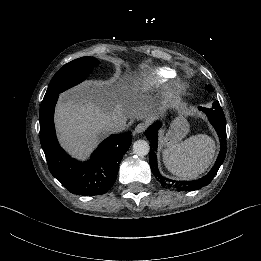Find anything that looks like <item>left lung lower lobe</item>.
I'll return each mask as SVG.
<instances>
[{"label": "left lung lower lobe", "mask_w": 261, "mask_h": 261, "mask_svg": "<svg viewBox=\"0 0 261 261\" xmlns=\"http://www.w3.org/2000/svg\"><path fill=\"white\" fill-rule=\"evenodd\" d=\"M199 110L205 112L208 116L209 121L217 131V134L221 138H225L226 136V119L223 113V110L219 104L218 101L213 102L212 107L210 109L199 107ZM161 127V122L156 121L154 122L149 128L145 131V136L147 139L151 142V149H150V155H149V162L150 167L153 172V174L157 177L159 182H161L164 185H167L168 187L175 188L177 190L182 191H193L201 189L204 186H207L214 176L216 175L218 169L220 168L221 164L223 163L225 159V155L227 152V146L226 143L223 141L221 142L220 152L218 155V158L212 167V169L209 171L207 175L204 177L194 180V181H176L169 178L164 177L159 169L157 164V132L158 129Z\"/></svg>", "instance_id": "left-lung-lower-lobe-1"}]
</instances>
